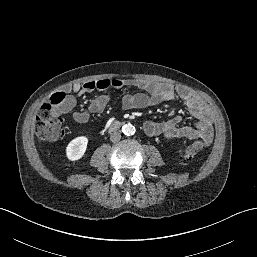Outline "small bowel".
I'll use <instances>...</instances> for the list:
<instances>
[{"label":"small bowel","instance_id":"1","mask_svg":"<svg viewBox=\"0 0 257 257\" xmlns=\"http://www.w3.org/2000/svg\"><path fill=\"white\" fill-rule=\"evenodd\" d=\"M109 87L122 89L124 87H136L143 92L122 95L121 103L125 109H142L154 106L162 102L175 99L178 95L185 103L189 114L195 119V123L189 126H181V117L176 116L165 122L147 121L144 124V131L149 136H163L165 139L177 138H201L209 142L213 134L212 121L204 103L189 91L178 88L175 89L167 83H160L145 79L121 80V79H99L76 83L64 88L67 92L77 95L91 93L93 91H104ZM111 100L110 95L101 94L91 100L85 110L73 112V119L79 124H85L90 119V113H100L105 110ZM75 106V99L68 96L65 104V112L70 111Z\"/></svg>","mask_w":257,"mask_h":257}]
</instances>
